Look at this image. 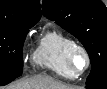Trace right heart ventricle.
<instances>
[{"instance_id": "right-heart-ventricle-1", "label": "right heart ventricle", "mask_w": 107, "mask_h": 89, "mask_svg": "<svg viewBox=\"0 0 107 89\" xmlns=\"http://www.w3.org/2000/svg\"><path fill=\"white\" fill-rule=\"evenodd\" d=\"M73 44L75 42L62 31L48 29L42 35L32 59L37 65L47 68L62 78L73 79L75 76L66 63L67 51Z\"/></svg>"}]
</instances>
